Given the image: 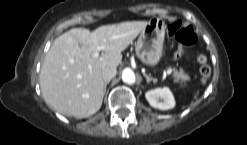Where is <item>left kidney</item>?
I'll use <instances>...</instances> for the list:
<instances>
[{"mask_svg":"<svg viewBox=\"0 0 247 145\" xmlns=\"http://www.w3.org/2000/svg\"><path fill=\"white\" fill-rule=\"evenodd\" d=\"M145 97L152 107L160 110H169L175 106L174 96L167 87L150 90L145 93Z\"/></svg>","mask_w":247,"mask_h":145,"instance_id":"5707ae66","label":"left kidney"}]
</instances>
